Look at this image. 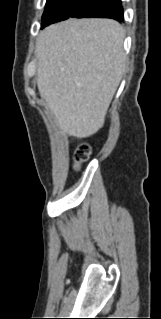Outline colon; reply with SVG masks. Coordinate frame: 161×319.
I'll use <instances>...</instances> for the list:
<instances>
[{
  "instance_id": "1",
  "label": "colon",
  "mask_w": 161,
  "mask_h": 319,
  "mask_svg": "<svg viewBox=\"0 0 161 319\" xmlns=\"http://www.w3.org/2000/svg\"><path fill=\"white\" fill-rule=\"evenodd\" d=\"M91 154V148L87 144H81L78 146L75 152V159L77 162L85 161Z\"/></svg>"
}]
</instances>
